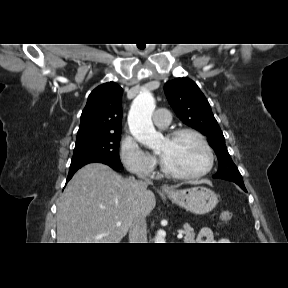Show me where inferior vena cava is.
Returning <instances> with one entry per match:
<instances>
[{
    "instance_id": "1",
    "label": "inferior vena cava",
    "mask_w": 288,
    "mask_h": 288,
    "mask_svg": "<svg viewBox=\"0 0 288 288\" xmlns=\"http://www.w3.org/2000/svg\"><path fill=\"white\" fill-rule=\"evenodd\" d=\"M144 184H150L151 181L144 176H139ZM129 243H146L147 241V224L146 218L141 217L131 227L129 231Z\"/></svg>"
}]
</instances>
